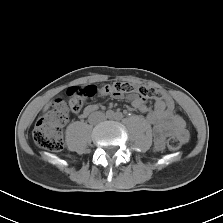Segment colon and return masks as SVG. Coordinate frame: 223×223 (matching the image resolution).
<instances>
[{"label":"colon","mask_w":223,"mask_h":223,"mask_svg":"<svg viewBox=\"0 0 223 223\" xmlns=\"http://www.w3.org/2000/svg\"><path fill=\"white\" fill-rule=\"evenodd\" d=\"M97 91L98 89L94 85L73 87L68 91V104L62 100L53 103L49 110L35 122L32 137L36 146L53 152L62 150L64 146L62 128L68 121L69 110L79 112L85 101L94 97ZM100 92L106 96L131 94L142 100L162 99L169 111L174 110L176 106L173 97L164 94L163 91L131 82L118 81L107 84L100 88ZM167 146L171 151H177L181 147V140L172 136L167 140Z\"/></svg>","instance_id":"5ec220e1"}]
</instances>
